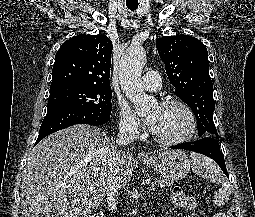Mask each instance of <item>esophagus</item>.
I'll use <instances>...</instances> for the list:
<instances>
[{
	"mask_svg": "<svg viewBox=\"0 0 255 217\" xmlns=\"http://www.w3.org/2000/svg\"><path fill=\"white\" fill-rule=\"evenodd\" d=\"M138 157L140 159H146V158H149L150 156H149V154L147 152L141 151V152L138 153Z\"/></svg>",
	"mask_w": 255,
	"mask_h": 217,
	"instance_id": "34e87169",
	"label": "esophagus"
}]
</instances>
